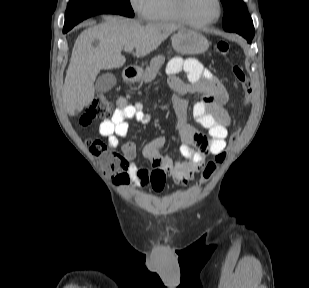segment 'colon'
Here are the masks:
<instances>
[{
    "instance_id": "obj_1",
    "label": "colon",
    "mask_w": 309,
    "mask_h": 288,
    "mask_svg": "<svg viewBox=\"0 0 309 288\" xmlns=\"http://www.w3.org/2000/svg\"><path fill=\"white\" fill-rule=\"evenodd\" d=\"M217 51L228 57L230 45L228 42L220 40L216 43ZM231 71L235 79L240 83L243 90V101L249 103L252 97V82L246 74L243 66L238 63L231 64ZM115 111L114 105L109 97L103 93L96 95L93 102L86 108L80 117V124L83 126L89 125L92 121L98 119H106L113 115ZM238 140V132H233L229 137V148L234 146ZM92 154L97 156L103 164L104 170L111 174L114 182L117 185L123 186L130 182V176L126 169L127 162L119 154L110 151L106 144L100 139H90L87 141ZM228 150L218 152L214 159L209 160L204 164L202 173L203 178L208 179L212 173L221 165L226 157Z\"/></svg>"
}]
</instances>
